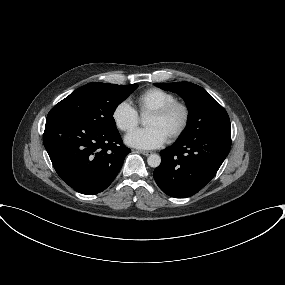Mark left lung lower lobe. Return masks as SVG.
<instances>
[{
  "mask_svg": "<svg viewBox=\"0 0 285 285\" xmlns=\"http://www.w3.org/2000/svg\"><path fill=\"white\" fill-rule=\"evenodd\" d=\"M231 147V135L203 134L179 139L163 150L154 170L160 189L175 198L194 195L215 176Z\"/></svg>",
  "mask_w": 285,
  "mask_h": 285,
  "instance_id": "0a47b994",
  "label": "left lung lower lobe"
}]
</instances>
